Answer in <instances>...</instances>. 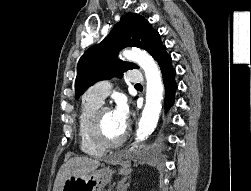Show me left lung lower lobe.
<instances>
[{
  "mask_svg": "<svg viewBox=\"0 0 251 191\" xmlns=\"http://www.w3.org/2000/svg\"><path fill=\"white\" fill-rule=\"evenodd\" d=\"M160 66L163 83L165 86V108L168 109L174 102V95L177 90V84L175 82V69L172 67V59L166 51L156 60Z\"/></svg>",
  "mask_w": 251,
  "mask_h": 191,
  "instance_id": "left-lung-lower-lobe-1",
  "label": "left lung lower lobe"
}]
</instances>
